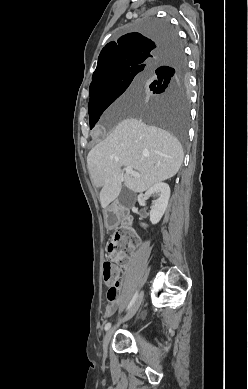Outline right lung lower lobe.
Returning <instances> with one entry per match:
<instances>
[{"instance_id":"right-lung-lower-lobe-1","label":"right lung lower lobe","mask_w":248,"mask_h":389,"mask_svg":"<svg viewBox=\"0 0 248 389\" xmlns=\"http://www.w3.org/2000/svg\"><path fill=\"white\" fill-rule=\"evenodd\" d=\"M161 39V38H160ZM173 39H175L176 40V43L174 44V48L172 49V51L173 50H175V51H178V52H182L183 53V50H182V47H181V45H180V43H179V41H178V39H177V37H173ZM164 72H167L166 70H162V69H159V68H157L156 70H155V73L156 74H158V73H164Z\"/></svg>"}]
</instances>
